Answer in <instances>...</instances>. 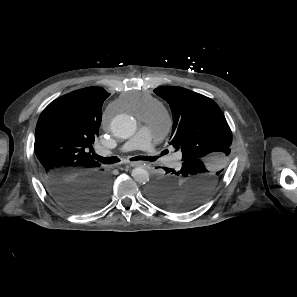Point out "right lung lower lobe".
I'll return each mask as SVG.
<instances>
[{
    "mask_svg": "<svg viewBox=\"0 0 297 297\" xmlns=\"http://www.w3.org/2000/svg\"><path fill=\"white\" fill-rule=\"evenodd\" d=\"M41 175L50 196L71 212H91L102 206L108 197L110 179L102 169L77 176L60 171Z\"/></svg>",
    "mask_w": 297,
    "mask_h": 297,
    "instance_id": "obj_1",
    "label": "right lung lower lobe"
}]
</instances>
